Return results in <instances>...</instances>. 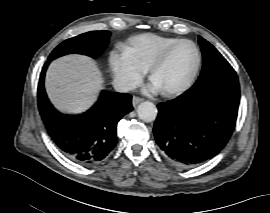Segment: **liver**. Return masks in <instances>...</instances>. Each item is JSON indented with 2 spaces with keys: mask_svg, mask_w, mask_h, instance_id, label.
Here are the masks:
<instances>
[{
  "mask_svg": "<svg viewBox=\"0 0 270 213\" xmlns=\"http://www.w3.org/2000/svg\"><path fill=\"white\" fill-rule=\"evenodd\" d=\"M102 84L96 65L87 57L69 55L51 63L45 80L53 105L64 113H81L96 100Z\"/></svg>",
  "mask_w": 270,
  "mask_h": 213,
  "instance_id": "1",
  "label": "liver"
}]
</instances>
